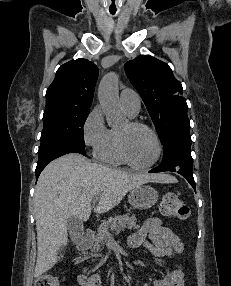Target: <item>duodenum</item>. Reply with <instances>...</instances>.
<instances>
[{
	"mask_svg": "<svg viewBox=\"0 0 231 286\" xmlns=\"http://www.w3.org/2000/svg\"><path fill=\"white\" fill-rule=\"evenodd\" d=\"M94 241V234L92 231H87L82 236H80L76 241V247L80 251L87 250L91 247Z\"/></svg>",
	"mask_w": 231,
	"mask_h": 286,
	"instance_id": "duodenum-1",
	"label": "duodenum"
}]
</instances>
